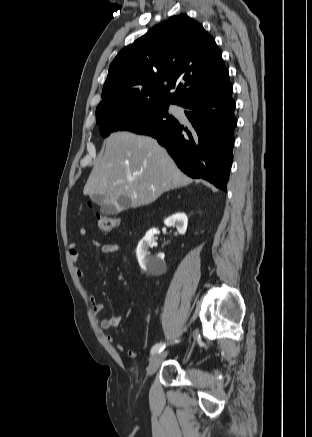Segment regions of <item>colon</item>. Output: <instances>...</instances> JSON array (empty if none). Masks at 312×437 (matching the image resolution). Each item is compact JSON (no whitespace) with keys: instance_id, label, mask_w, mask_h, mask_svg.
Segmentation results:
<instances>
[{"instance_id":"1","label":"colon","mask_w":312,"mask_h":437,"mask_svg":"<svg viewBox=\"0 0 312 437\" xmlns=\"http://www.w3.org/2000/svg\"><path fill=\"white\" fill-rule=\"evenodd\" d=\"M94 221L101 231L108 232L119 224V218L115 215L94 213Z\"/></svg>"}]
</instances>
